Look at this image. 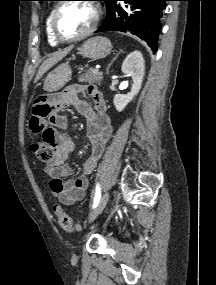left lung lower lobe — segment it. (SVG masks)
<instances>
[{
	"label": "left lung lower lobe",
	"instance_id": "obj_1",
	"mask_svg": "<svg viewBox=\"0 0 216 285\" xmlns=\"http://www.w3.org/2000/svg\"><path fill=\"white\" fill-rule=\"evenodd\" d=\"M118 1H124L119 4ZM168 0H111L107 16L97 32H130L144 41L156 52L162 11Z\"/></svg>",
	"mask_w": 216,
	"mask_h": 285
}]
</instances>
